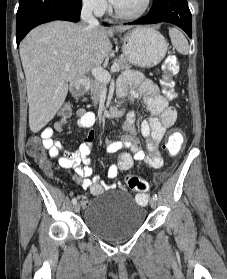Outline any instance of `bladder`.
Listing matches in <instances>:
<instances>
[{
  "mask_svg": "<svg viewBox=\"0 0 227 279\" xmlns=\"http://www.w3.org/2000/svg\"><path fill=\"white\" fill-rule=\"evenodd\" d=\"M145 209L127 192L97 195L84 213L87 229L99 238L118 241L135 234L143 225Z\"/></svg>",
  "mask_w": 227,
  "mask_h": 279,
  "instance_id": "1",
  "label": "bladder"
}]
</instances>
